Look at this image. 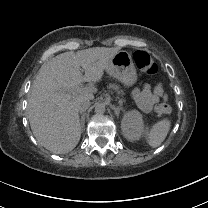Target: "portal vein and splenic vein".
Instances as JSON below:
<instances>
[{
	"instance_id": "portal-vein-and-splenic-vein-1",
	"label": "portal vein and splenic vein",
	"mask_w": 208,
	"mask_h": 208,
	"mask_svg": "<svg viewBox=\"0 0 208 208\" xmlns=\"http://www.w3.org/2000/svg\"><path fill=\"white\" fill-rule=\"evenodd\" d=\"M84 79L87 82H91V79H90V77L88 75H85ZM91 87H92V84L91 83H88L87 84V87H84V86L81 85L78 88V90L80 92H91V90H92ZM115 90H116L115 95L118 96V99H121L122 93H120V90L118 89V87H115Z\"/></svg>"
}]
</instances>
